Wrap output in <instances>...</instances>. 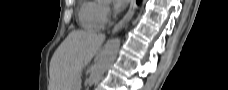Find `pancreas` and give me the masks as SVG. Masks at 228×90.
I'll return each instance as SVG.
<instances>
[{
  "label": "pancreas",
  "mask_w": 228,
  "mask_h": 90,
  "mask_svg": "<svg viewBox=\"0 0 228 90\" xmlns=\"http://www.w3.org/2000/svg\"><path fill=\"white\" fill-rule=\"evenodd\" d=\"M80 85H81V80L79 79V80H77V82H76V87H80Z\"/></svg>",
  "instance_id": "obj_1"
}]
</instances>
